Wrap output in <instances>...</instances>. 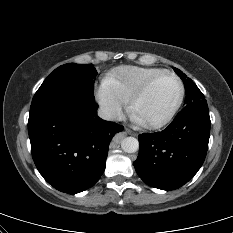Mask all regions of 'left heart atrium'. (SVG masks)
Returning <instances> with one entry per match:
<instances>
[{
  "label": "left heart atrium",
  "mask_w": 233,
  "mask_h": 233,
  "mask_svg": "<svg viewBox=\"0 0 233 233\" xmlns=\"http://www.w3.org/2000/svg\"><path fill=\"white\" fill-rule=\"evenodd\" d=\"M133 118H134V121H135V122H137V123H142V121H141L139 118H137L136 116H133Z\"/></svg>",
  "instance_id": "39dd6f15"
}]
</instances>
